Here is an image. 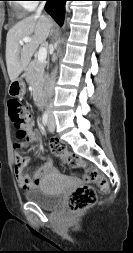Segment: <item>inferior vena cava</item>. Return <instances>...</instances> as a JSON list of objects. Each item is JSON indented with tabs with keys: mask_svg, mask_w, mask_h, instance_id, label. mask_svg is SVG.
Instances as JSON below:
<instances>
[{
	"mask_svg": "<svg viewBox=\"0 0 133 253\" xmlns=\"http://www.w3.org/2000/svg\"><path fill=\"white\" fill-rule=\"evenodd\" d=\"M44 3H45V2L42 1L41 4H40V6L38 7L37 12H36L37 15H40V14H41V11H42L43 8H44ZM54 81H55V74L52 73V76H51V79H50V82H49V86H48V88H47L48 97H52V94H53V87H54V86H53V85H54ZM48 114H49V118H50L51 120H53L54 117H53L51 108H49Z\"/></svg>",
	"mask_w": 133,
	"mask_h": 253,
	"instance_id": "obj_1",
	"label": "inferior vena cava"
}]
</instances>
